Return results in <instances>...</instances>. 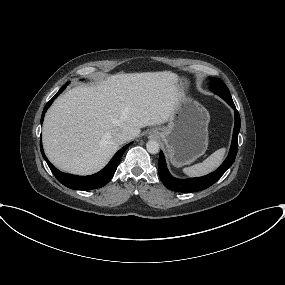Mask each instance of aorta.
I'll use <instances>...</instances> for the list:
<instances>
[{
	"label": "aorta",
	"instance_id": "762f6f07",
	"mask_svg": "<svg viewBox=\"0 0 285 285\" xmlns=\"http://www.w3.org/2000/svg\"><path fill=\"white\" fill-rule=\"evenodd\" d=\"M147 151L151 154H156L159 152V143L155 140H149L146 144Z\"/></svg>",
	"mask_w": 285,
	"mask_h": 285
}]
</instances>
